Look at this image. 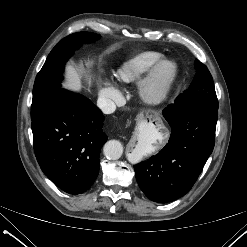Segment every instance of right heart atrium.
Segmentation results:
<instances>
[{"instance_id": "d8ad5b80", "label": "right heart atrium", "mask_w": 247, "mask_h": 247, "mask_svg": "<svg viewBox=\"0 0 247 247\" xmlns=\"http://www.w3.org/2000/svg\"><path fill=\"white\" fill-rule=\"evenodd\" d=\"M100 96L107 102H116L121 98V92L111 80L103 78L101 82Z\"/></svg>"}]
</instances>
